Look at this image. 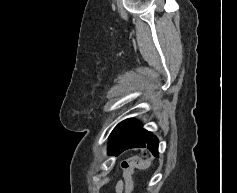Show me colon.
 <instances>
[{
    "instance_id": "5ec220e1",
    "label": "colon",
    "mask_w": 237,
    "mask_h": 193,
    "mask_svg": "<svg viewBox=\"0 0 237 193\" xmlns=\"http://www.w3.org/2000/svg\"><path fill=\"white\" fill-rule=\"evenodd\" d=\"M150 165V157L144 153L142 156H136L122 161L121 168L125 178V188L130 192L133 188V174L135 170H146Z\"/></svg>"
}]
</instances>
